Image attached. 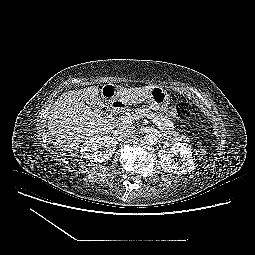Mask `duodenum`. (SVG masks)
<instances>
[{"label": "duodenum", "mask_w": 255, "mask_h": 255, "mask_svg": "<svg viewBox=\"0 0 255 255\" xmlns=\"http://www.w3.org/2000/svg\"><path fill=\"white\" fill-rule=\"evenodd\" d=\"M125 108V103H123L120 99H114L110 103V113L118 114Z\"/></svg>", "instance_id": "1"}]
</instances>
